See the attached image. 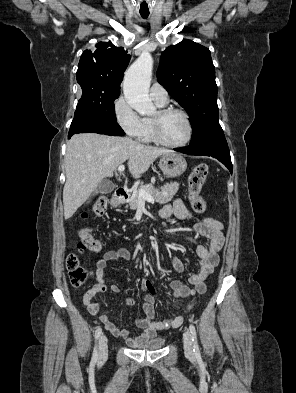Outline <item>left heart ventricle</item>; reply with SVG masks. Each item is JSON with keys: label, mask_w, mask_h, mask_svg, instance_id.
Listing matches in <instances>:
<instances>
[{"label": "left heart ventricle", "mask_w": 296, "mask_h": 393, "mask_svg": "<svg viewBox=\"0 0 296 393\" xmlns=\"http://www.w3.org/2000/svg\"><path fill=\"white\" fill-rule=\"evenodd\" d=\"M187 131L185 119L178 113L169 114L161 121V135L169 143L181 142L187 136Z\"/></svg>", "instance_id": "left-heart-ventricle-1"}]
</instances>
